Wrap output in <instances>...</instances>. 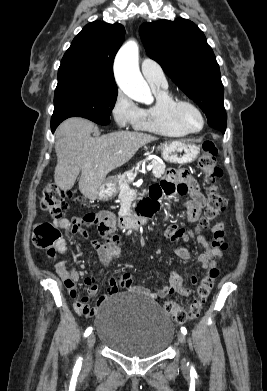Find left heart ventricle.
Listing matches in <instances>:
<instances>
[{
	"label": "left heart ventricle",
	"instance_id": "b2bd125f",
	"mask_svg": "<svg viewBox=\"0 0 267 391\" xmlns=\"http://www.w3.org/2000/svg\"><path fill=\"white\" fill-rule=\"evenodd\" d=\"M182 117L186 125L193 129L198 130L201 127V118L196 111L189 107H185L182 110Z\"/></svg>",
	"mask_w": 267,
	"mask_h": 391
}]
</instances>
